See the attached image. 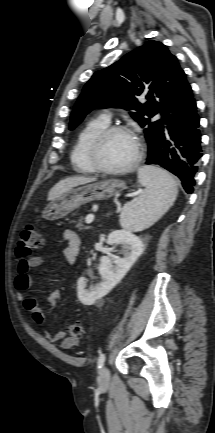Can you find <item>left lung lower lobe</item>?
<instances>
[{"instance_id": "0a47b994", "label": "left lung lower lobe", "mask_w": 215, "mask_h": 433, "mask_svg": "<svg viewBox=\"0 0 215 433\" xmlns=\"http://www.w3.org/2000/svg\"><path fill=\"white\" fill-rule=\"evenodd\" d=\"M162 117L167 130L162 126L146 164L167 169L179 177L185 191L191 194L202 149L196 101L186 79L170 98Z\"/></svg>"}]
</instances>
